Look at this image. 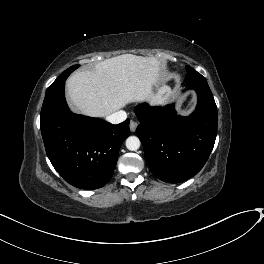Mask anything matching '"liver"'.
Listing matches in <instances>:
<instances>
[{
	"label": "liver",
	"instance_id": "obj_1",
	"mask_svg": "<svg viewBox=\"0 0 264 264\" xmlns=\"http://www.w3.org/2000/svg\"><path fill=\"white\" fill-rule=\"evenodd\" d=\"M160 63L153 57L123 54L97 63L93 70L77 71L66 82L75 111L106 117L130 103L158 105L167 86H158Z\"/></svg>",
	"mask_w": 264,
	"mask_h": 264
}]
</instances>
